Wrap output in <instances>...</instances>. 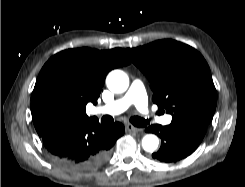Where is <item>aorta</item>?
<instances>
[{"label":"aorta","instance_id":"aorta-1","mask_svg":"<svg viewBox=\"0 0 245 187\" xmlns=\"http://www.w3.org/2000/svg\"><path fill=\"white\" fill-rule=\"evenodd\" d=\"M106 84L110 91L114 93H123L129 86V78L125 72L113 70L108 74ZM158 145L159 139L153 134L145 135L142 139V147L147 152H154Z\"/></svg>","mask_w":245,"mask_h":187}]
</instances>
